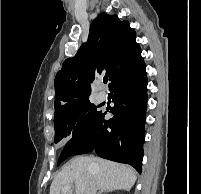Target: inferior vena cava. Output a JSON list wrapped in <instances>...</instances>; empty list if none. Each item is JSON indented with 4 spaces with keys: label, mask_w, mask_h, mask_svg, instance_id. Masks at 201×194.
Returning a JSON list of instances; mask_svg holds the SVG:
<instances>
[{
    "label": "inferior vena cava",
    "mask_w": 201,
    "mask_h": 194,
    "mask_svg": "<svg viewBox=\"0 0 201 194\" xmlns=\"http://www.w3.org/2000/svg\"><path fill=\"white\" fill-rule=\"evenodd\" d=\"M97 185H96V183L93 181L91 184H90V186L88 187V189H87V192H86V194H97L96 192H97Z\"/></svg>",
    "instance_id": "inferior-vena-cava-1"
}]
</instances>
